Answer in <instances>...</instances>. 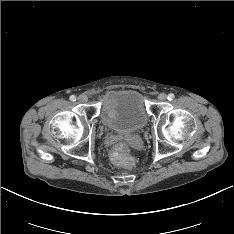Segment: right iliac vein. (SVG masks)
I'll return each instance as SVG.
<instances>
[{
  "instance_id": "right-iliac-vein-1",
  "label": "right iliac vein",
  "mask_w": 234,
  "mask_h": 234,
  "mask_svg": "<svg viewBox=\"0 0 234 234\" xmlns=\"http://www.w3.org/2000/svg\"><path fill=\"white\" fill-rule=\"evenodd\" d=\"M78 101L81 103H86L88 101V97L86 95H80L78 97Z\"/></svg>"
}]
</instances>
